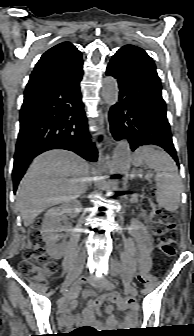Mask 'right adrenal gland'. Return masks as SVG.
<instances>
[{"label": "right adrenal gland", "mask_w": 194, "mask_h": 336, "mask_svg": "<svg viewBox=\"0 0 194 336\" xmlns=\"http://www.w3.org/2000/svg\"><path fill=\"white\" fill-rule=\"evenodd\" d=\"M88 179H89V180L87 181V185H86V189H85V191L88 190L89 187L92 186V180H91L90 178H88Z\"/></svg>", "instance_id": "2a0ac1e0"}]
</instances>
